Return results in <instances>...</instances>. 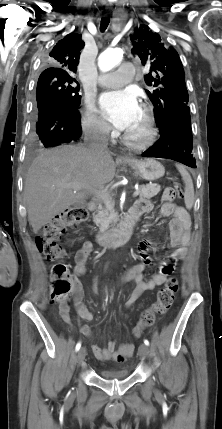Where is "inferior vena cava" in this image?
I'll return each mask as SVG.
<instances>
[{
	"label": "inferior vena cava",
	"instance_id": "obj_1",
	"mask_svg": "<svg viewBox=\"0 0 222 429\" xmlns=\"http://www.w3.org/2000/svg\"><path fill=\"white\" fill-rule=\"evenodd\" d=\"M111 127L103 120L96 119L84 130V141L86 147L92 151H106L108 146V136Z\"/></svg>",
	"mask_w": 222,
	"mask_h": 429
}]
</instances>
